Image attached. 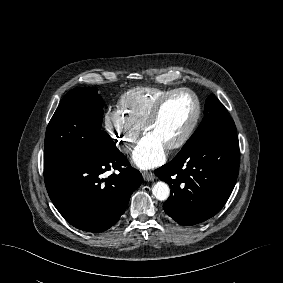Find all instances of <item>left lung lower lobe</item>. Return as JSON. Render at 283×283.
Here are the masks:
<instances>
[{
    "label": "left lung lower lobe",
    "mask_w": 283,
    "mask_h": 283,
    "mask_svg": "<svg viewBox=\"0 0 283 283\" xmlns=\"http://www.w3.org/2000/svg\"><path fill=\"white\" fill-rule=\"evenodd\" d=\"M238 171L236 133L182 148L172 161L155 170L171 189L164 211L182 225H195L213 217L228 200Z\"/></svg>",
    "instance_id": "left-lung-lower-lobe-1"
}]
</instances>
